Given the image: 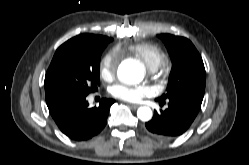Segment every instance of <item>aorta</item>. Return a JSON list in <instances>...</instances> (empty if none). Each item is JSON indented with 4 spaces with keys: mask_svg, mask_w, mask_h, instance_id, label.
Segmentation results:
<instances>
[{
    "mask_svg": "<svg viewBox=\"0 0 249 165\" xmlns=\"http://www.w3.org/2000/svg\"><path fill=\"white\" fill-rule=\"evenodd\" d=\"M118 76L126 83L135 84L142 81L144 68L136 60H125L118 67ZM137 117L141 121H149L152 118V110L149 107H140L137 110Z\"/></svg>",
    "mask_w": 249,
    "mask_h": 165,
    "instance_id": "762f6f07",
    "label": "aorta"
}]
</instances>
